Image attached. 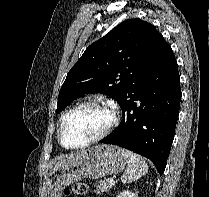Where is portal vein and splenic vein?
I'll return each instance as SVG.
<instances>
[{
  "label": "portal vein and splenic vein",
  "instance_id": "portal-vein-and-splenic-vein-1",
  "mask_svg": "<svg viewBox=\"0 0 209 197\" xmlns=\"http://www.w3.org/2000/svg\"><path fill=\"white\" fill-rule=\"evenodd\" d=\"M107 182H108V183H113L114 181H113L112 178H108V179H107Z\"/></svg>",
  "mask_w": 209,
  "mask_h": 197
}]
</instances>
